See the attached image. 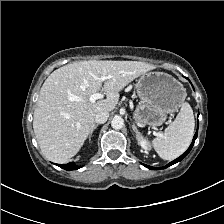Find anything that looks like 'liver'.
Segmentation results:
<instances>
[{
	"label": "liver",
	"mask_w": 224,
	"mask_h": 224,
	"mask_svg": "<svg viewBox=\"0 0 224 224\" xmlns=\"http://www.w3.org/2000/svg\"><path fill=\"white\" fill-rule=\"evenodd\" d=\"M156 66L139 61H79L52 72L41 87L34 111V133L43 155L66 163L87 139L101 111L111 112L119 92L134 79ZM107 76L104 84L99 79ZM104 92L106 99L90 102L92 94ZM76 96V100H70Z\"/></svg>",
	"instance_id": "liver-1"
}]
</instances>
